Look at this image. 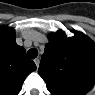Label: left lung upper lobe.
<instances>
[{"label":"left lung upper lobe","instance_id":"left-lung-upper-lobe-1","mask_svg":"<svg viewBox=\"0 0 95 95\" xmlns=\"http://www.w3.org/2000/svg\"><path fill=\"white\" fill-rule=\"evenodd\" d=\"M39 74L57 95L88 91L95 77V47L83 33L71 38L63 31L52 34L42 55Z\"/></svg>","mask_w":95,"mask_h":95}]
</instances>
